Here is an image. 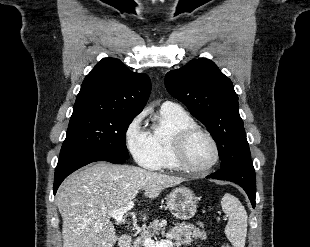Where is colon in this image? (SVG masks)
I'll use <instances>...</instances> for the list:
<instances>
[{"label":"colon","instance_id":"obj_1","mask_svg":"<svg viewBox=\"0 0 310 247\" xmlns=\"http://www.w3.org/2000/svg\"><path fill=\"white\" fill-rule=\"evenodd\" d=\"M223 247H231L230 245H228V244H226V245H224Z\"/></svg>","mask_w":310,"mask_h":247}]
</instances>
